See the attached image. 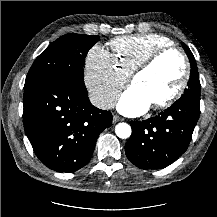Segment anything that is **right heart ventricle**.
I'll return each instance as SVG.
<instances>
[{"mask_svg": "<svg viewBox=\"0 0 217 217\" xmlns=\"http://www.w3.org/2000/svg\"><path fill=\"white\" fill-rule=\"evenodd\" d=\"M114 64L129 76L133 70L156 50L172 46V41L160 34H138L118 37L109 42Z\"/></svg>", "mask_w": 217, "mask_h": 217, "instance_id": "right-heart-ventricle-1", "label": "right heart ventricle"}]
</instances>
